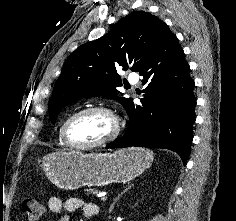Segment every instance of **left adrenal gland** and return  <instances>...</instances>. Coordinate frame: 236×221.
<instances>
[{"label": "left adrenal gland", "instance_id": "left-adrenal-gland-1", "mask_svg": "<svg viewBox=\"0 0 236 221\" xmlns=\"http://www.w3.org/2000/svg\"><path fill=\"white\" fill-rule=\"evenodd\" d=\"M132 186H133V184L130 185V186H128L127 188H125V189L123 190V192H121V193L118 195V197H116V198L114 199L113 203L111 204V206H110V208H109V212H112V210H113V208H114V205H115V203L117 202V200H119V198H120L125 192H127Z\"/></svg>", "mask_w": 236, "mask_h": 221}]
</instances>
